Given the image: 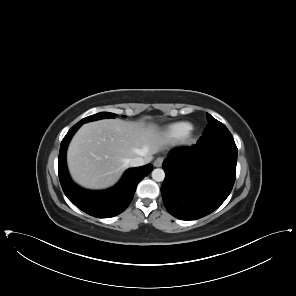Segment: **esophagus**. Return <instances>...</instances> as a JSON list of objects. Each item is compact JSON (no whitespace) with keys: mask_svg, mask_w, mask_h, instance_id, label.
<instances>
[{"mask_svg":"<svg viewBox=\"0 0 296 296\" xmlns=\"http://www.w3.org/2000/svg\"><path fill=\"white\" fill-rule=\"evenodd\" d=\"M163 161H164V158H163V157H158V158L154 161V166H155V167H161Z\"/></svg>","mask_w":296,"mask_h":296,"instance_id":"1","label":"esophagus"}]
</instances>
